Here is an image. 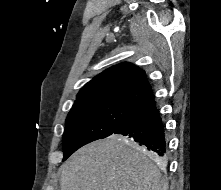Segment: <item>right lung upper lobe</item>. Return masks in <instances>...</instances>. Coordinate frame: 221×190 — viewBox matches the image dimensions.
Here are the masks:
<instances>
[{"label":"right lung upper lobe","instance_id":"cb5924a9","mask_svg":"<svg viewBox=\"0 0 221 190\" xmlns=\"http://www.w3.org/2000/svg\"><path fill=\"white\" fill-rule=\"evenodd\" d=\"M153 98L145 72L125 62L105 70L85 84L73 106L113 103L137 109Z\"/></svg>","mask_w":221,"mask_h":190}]
</instances>
